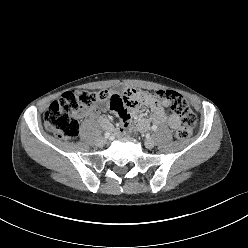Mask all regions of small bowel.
<instances>
[{
	"instance_id": "small-bowel-1",
	"label": "small bowel",
	"mask_w": 248,
	"mask_h": 248,
	"mask_svg": "<svg viewBox=\"0 0 248 248\" xmlns=\"http://www.w3.org/2000/svg\"><path fill=\"white\" fill-rule=\"evenodd\" d=\"M110 94L113 95L111 99L100 101L98 105L85 111L82 115L98 118L105 130L113 131L110 119L100 115L101 111L110 108L121 118L118 131L122 133L128 129L131 117L137 112L138 104L144 101L150 107V118H142L138 121L137 127L140 131L148 130L151 124H168L174 130L180 128L179 117L167 112L168 102L166 100H157L136 88H127L124 83L117 84Z\"/></svg>"
}]
</instances>
